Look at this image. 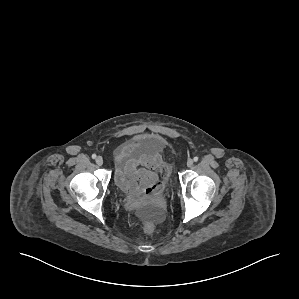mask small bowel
<instances>
[{
  "label": "small bowel",
  "instance_id": "obj_1",
  "mask_svg": "<svg viewBox=\"0 0 299 299\" xmlns=\"http://www.w3.org/2000/svg\"><path fill=\"white\" fill-rule=\"evenodd\" d=\"M136 142L131 140L121 145L115 153V183L126 192L133 205L161 193L163 183L158 180L156 170L164 178L169 174L160 153H137Z\"/></svg>",
  "mask_w": 299,
  "mask_h": 299
}]
</instances>
